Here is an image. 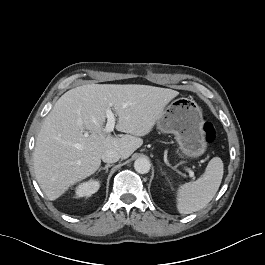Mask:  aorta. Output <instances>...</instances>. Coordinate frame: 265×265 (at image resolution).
<instances>
[{
    "label": "aorta",
    "instance_id": "aorta-1",
    "mask_svg": "<svg viewBox=\"0 0 265 265\" xmlns=\"http://www.w3.org/2000/svg\"><path fill=\"white\" fill-rule=\"evenodd\" d=\"M150 167V161L145 157L138 158L134 162V169L140 174L148 173L150 171Z\"/></svg>",
    "mask_w": 265,
    "mask_h": 265
}]
</instances>
